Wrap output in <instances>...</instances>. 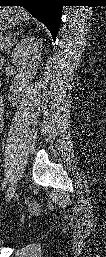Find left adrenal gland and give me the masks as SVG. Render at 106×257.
Masks as SVG:
<instances>
[{
  "label": "left adrenal gland",
  "mask_w": 106,
  "mask_h": 257,
  "mask_svg": "<svg viewBox=\"0 0 106 257\" xmlns=\"http://www.w3.org/2000/svg\"><path fill=\"white\" fill-rule=\"evenodd\" d=\"M21 33H22V31L18 32V33L15 35L14 39L16 38V36L20 35ZM8 51H9V50H8Z\"/></svg>",
  "instance_id": "a2214340"
}]
</instances>
